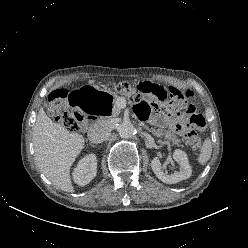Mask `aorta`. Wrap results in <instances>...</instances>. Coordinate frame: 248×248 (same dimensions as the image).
<instances>
[{"label": "aorta", "mask_w": 248, "mask_h": 248, "mask_svg": "<svg viewBox=\"0 0 248 248\" xmlns=\"http://www.w3.org/2000/svg\"><path fill=\"white\" fill-rule=\"evenodd\" d=\"M118 133L122 138H131L135 133V128L131 122L124 121L119 125Z\"/></svg>", "instance_id": "1"}]
</instances>
